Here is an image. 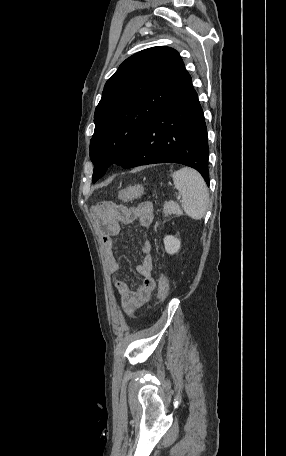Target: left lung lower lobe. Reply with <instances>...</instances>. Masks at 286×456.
<instances>
[{"instance_id": "0a47b994", "label": "left lung lower lobe", "mask_w": 286, "mask_h": 456, "mask_svg": "<svg viewBox=\"0 0 286 456\" xmlns=\"http://www.w3.org/2000/svg\"><path fill=\"white\" fill-rule=\"evenodd\" d=\"M208 157L203 110L188 74L139 135L122 167L180 163L199 171L209 185Z\"/></svg>"}]
</instances>
